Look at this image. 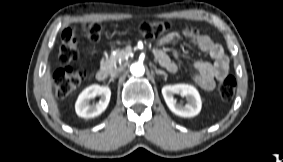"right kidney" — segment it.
I'll list each match as a JSON object with an SVG mask.
<instances>
[{
	"label": "right kidney",
	"instance_id": "1",
	"mask_svg": "<svg viewBox=\"0 0 283 162\" xmlns=\"http://www.w3.org/2000/svg\"><path fill=\"white\" fill-rule=\"evenodd\" d=\"M101 96L99 103L95 105L90 104V100L96 96ZM111 96V90L107 86H100L97 84L87 87L79 95L75 111L79 117L93 118L100 115L107 108Z\"/></svg>",
	"mask_w": 283,
	"mask_h": 162
}]
</instances>
